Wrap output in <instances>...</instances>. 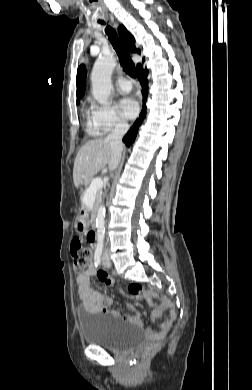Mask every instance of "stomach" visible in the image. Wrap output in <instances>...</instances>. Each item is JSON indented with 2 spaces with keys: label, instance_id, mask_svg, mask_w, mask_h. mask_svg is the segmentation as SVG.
<instances>
[{
  "label": "stomach",
  "instance_id": "stomach-1",
  "mask_svg": "<svg viewBox=\"0 0 252 390\" xmlns=\"http://www.w3.org/2000/svg\"><path fill=\"white\" fill-rule=\"evenodd\" d=\"M87 227L86 221L84 220L83 217H78L75 223V229L79 232L85 230Z\"/></svg>",
  "mask_w": 252,
  "mask_h": 390
}]
</instances>
